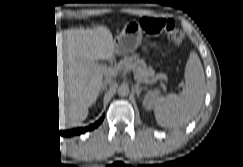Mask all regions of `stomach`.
I'll return each instance as SVG.
<instances>
[{
  "label": "stomach",
  "instance_id": "0dacf381",
  "mask_svg": "<svg viewBox=\"0 0 243 167\" xmlns=\"http://www.w3.org/2000/svg\"><path fill=\"white\" fill-rule=\"evenodd\" d=\"M115 53L127 55L134 52L142 43V28L137 21L127 22L121 33L116 37ZM147 52V48L143 47Z\"/></svg>",
  "mask_w": 243,
  "mask_h": 167
}]
</instances>
